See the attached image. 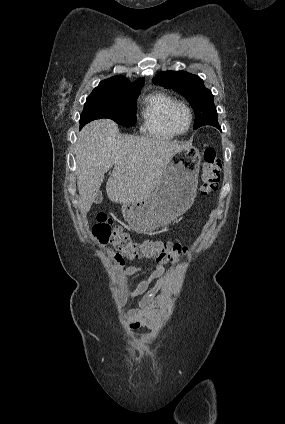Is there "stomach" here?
Segmentation results:
<instances>
[{
	"instance_id": "obj_1",
	"label": "stomach",
	"mask_w": 285,
	"mask_h": 424,
	"mask_svg": "<svg viewBox=\"0 0 285 424\" xmlns=\"http://www.w3.org/2000/svg\"><path fill=\"white\" fill-rule=\"evenodd\" d=\"M201 155L197 149L176 152L165 167L154 192L123 204L122 214L137 231H154L183 215L193 204L198 186Z\"/></svg>"
}]
</instances>
